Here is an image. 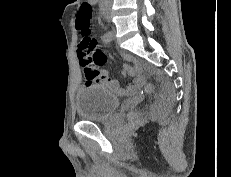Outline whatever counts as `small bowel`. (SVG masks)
<instances>
[{"label": "small bowel", "mask_w": 231, "mask_h": 177, "mask_svg": "<svg viewBox=\"0 0 231 177\" xmlns=\"http://www.w3.org/2000/svg\"><path fill=\"white\" fill-rule=\"evenodd\" d=\"M87 3L92 6L96 2L92 0H88ZM76 23H77V19H76ZM110 40H111L110 35L103 38V41L105 42H109ZM123 57L124 59L132 62V65H125L123 67V74H128L134 77L133 82L130 83L126 88H122L120 86L119 80L114 78L111 72L106 69H101V70L96 69L97 75L94 77L89 78L85 75L86 84L102 85L116 92L119 95H130L136 93L139 90V88L145 83V78L142 75V66L139 62H137L135 59H133L130 56L124 55Z\"/></svg>", "instance_id": "obj_1"}]
</instances>
